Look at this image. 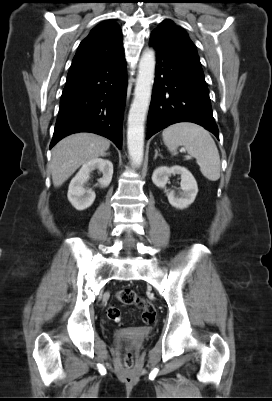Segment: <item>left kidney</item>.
<instances>
[{
    "instance_id": "5707ae66",
    "label": "left kidney",
    "mask_w": 272,
    "mask_h": 401,
    "mask_svg": "<svg viewBox=\"0 0 272 401\" xmlns=\"http://www.w3.org/2000/svg\"><path fill=\"white\" fill-rule=\"evenodd\" d=\"M171 174H179L181 176V192L178 197L175 196L174 191H170L167 194L168 201L175 208H187L194 202L198 193V186L195 178L186 168L178 165L170 168L165 166L159 167L153 172L152 181L157 187L165 189L168 177Z\"/></svg>"
}]
</instances>
